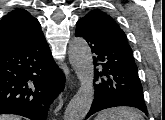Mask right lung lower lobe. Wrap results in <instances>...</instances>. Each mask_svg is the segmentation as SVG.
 <instances>
[{
	"mask_svg": "<svg viewBox=\"0 0 165 120\" xmlns=\"http://www.w3.org/2000/svg\"><path fill=\"white\" fill-rule=\"evenodd\" d=\"M64 88L44 35L0 51V114L46 120L48 108Z\"/></svg>",
	"mask_w": 165,
	"mask_h": 120,
	"instance_id": "obj_1",
	"label": "right lung lower lobe"
}]
</instances>
